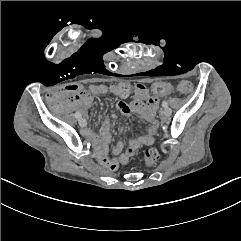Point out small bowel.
<instances>
[{
	"instance_id": "obj_1",
	"label": "small bowel",
	"mask_w": 241,
	"mask_h": 241,
	"mask_svg": "<svg viewBox=\"0 0 241 241\" xmlns=\"http://www.w3.org/2000/svg\"><path fill=\"white\" fill-rule=\"evenodd\" d=\"M106 85L107 84H93L88 90H84L81 85L72 84L67 87L66 91L74 95L73 106L75 110L81 114H86L91 105L93 96L107 94L105 91ZM130 91L125 97L130 94ZM60 94V91L56 89L52 92H48L46 95L47 103L50 104L52 110L59 116L64 112L58 105L59 102L56 99ZM153 97L155 98V101H151ZM159 97L163 96L153 93V96L150 97L147 87L142 83H138L134 86V97L132 102L130 104L125 102L118 103L117 107L123 115L130 116L131 114H136L148 123L147 132L144 135L131 138L125 151H123L124 143L122 141H118L114 145L112 152L114 155L118 156L120 163H128L129 159L141 146L154 143L159 127V121L156 117ZM82 134L93 141L98 153L101 155L99 161L102 165L108 166L111 169L117 168L118 161L116 159H108L104 156L107 144L111 139L109 119H104L102 122L99 129V136H96L90 129H84ZM113 161L117 163L115 168L112 167Z\"/></svg>"
}]
</instances>
